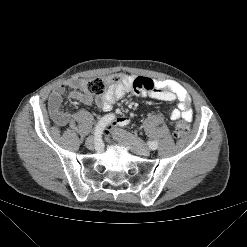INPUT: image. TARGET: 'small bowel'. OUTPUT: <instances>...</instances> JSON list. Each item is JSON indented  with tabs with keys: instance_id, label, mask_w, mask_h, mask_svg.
I'll use <instances>...</instances> for the list:
<instances>
[{
	"instance_id": "c3829d8e",
	"label": "small bowel",
	"mask_w": 247,
	"mask_h": 247,
	"mask_svg": "<svg viewBox=\"0 0 247 247\" xmlns=\"http://www.w3.org/2000/svg\"><path fill=\"white\" fill-rule=\"evenodd\" d=\"M139 81L140 86L135 82ZM83 80H70L57 85L51 92L48 99V109L52 121L57 125H66L70 121L72 114L69 111H62V97L66 88L78 90L77 99L86 105L94 104L104 112L112 110L114 104L125 95L148 96L164 101H178L176 108L169 112L172 120L182 118L186 122L193 119L191 109V98L188 92L181 85L170 80H153L147 77H126L122 83H112L107 91L99 98L94 99L83 87ZM128 117H119L118 125L128 124Z\"/></svg>"
}]
</instances>
